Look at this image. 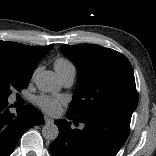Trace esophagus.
<instances>
[{
  "mask_svg": "<svg viewBox=\"0 0 156 156\" xmlns=\"http://www.w3.org/2000/svg\"><path fill=\"white\" fill-rule=\"evenodd\" d=\"M44 121L46 124H50L53 122V119H51L49 116L45 115L44 116Z\"/></svg>",
  "mask_w": 156,
  "mask_h": 156,
  "instance_id": "obj_1",
  "label": "esophagus"
}]
</instances>
